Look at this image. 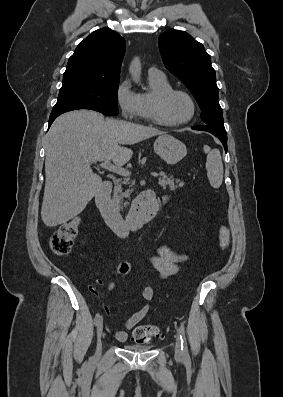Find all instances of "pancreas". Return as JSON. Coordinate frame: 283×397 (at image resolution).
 Segmentation results:
<instances>
[{
    "label": "pancreas",
    "mask_w": 283,
    "mask_h": 397,
    "mask_svg": "<svg viewBox=\"0 0 283 397\" xmlns=\"http://www.w3.org/2000/svg\"><path fill=\"white\" fill-rule=\"evenodd\" d=\"M159 185L163 187V189L176 190L178 187H183L184 182L180 181V179H173L171 176H167L164 172L160 173ZM129 184V179L118 180L115 183L114 187V201L120 207H125L128 202H124L123 198H128L130 194L133 192V188L130 186L127 190L123 191L122 186Z\"/></svg>",
    "instance_id": "1"
}]
</instances>
